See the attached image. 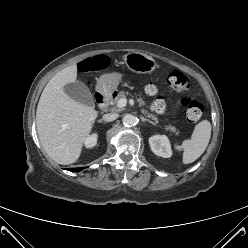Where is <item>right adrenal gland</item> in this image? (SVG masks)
<instances>
[{
  "label": "right adrenal gland",
  "instance_id": "1",
  "mask_svg": "<svg viewBox=\"0 0 248 248\" xmlns=\"http://www.w3.org/2000/svg\"><path fill=\"white\" fill-rule=\"evenodd\" d=\"M99 123H103V124H106L105 121H103L102 119L98 120Z\"/></svg>",
  "mask_w": 248,
  "mask_h": 248
}]
</instances>
